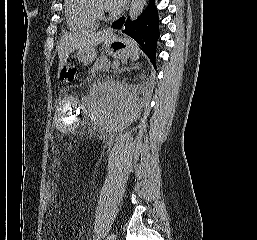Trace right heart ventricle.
Here are the masks:
<instances>
[{"label":"right heart ventricle","instance_id":"1","mask_svg":"<svg viewBox=\"0 0 257 240\" xmlns=\"http://www.w3.org/2000/svg\"><path fill=\"white\" fill-rule=\"evenodd\" d=\"M65 16L68 27L73 30L94 28L99 21L89 11L86 0H65Z\"/></svg>","mask_w":257,"mask_h":240}]
</instances>
